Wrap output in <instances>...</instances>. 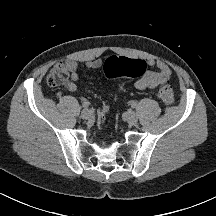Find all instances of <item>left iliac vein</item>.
<instances>
[{
  "label": "left iliac vein",
  "mask_w": 216,
  "mask_h": 216,
  "mask_svg": "<svg viewBox=\"0 0 216 216\" xmlns=\"http://www.w3.org/2000/svg\"><path fill=\"white\" fill-rule=\"evenodd\" d=\"M125 119L131 125H135L138 121L137 114L134 111L126 112L125 113Z\"/></svg>",
  "instance_id": "1"
}]
</instances>
